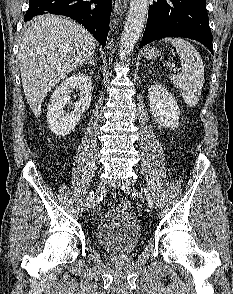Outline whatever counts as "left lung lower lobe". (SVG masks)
Masks as SVG:
<instances>
[{"label":"left lung lower lobe","instance_id":"left-lung-lower-lobe-1","mask_svg":"<svg viewBox=\"0 0 233 294\" xmlns=\"http://www.w3.org/2000/svg\"><path fill=\"white\" fill-rule=\"evenodd\" d=\"M175 36L199 41L213 54L206 0H155L149 5L140 48L152 41Z\"/></svg>","mask_w":233,"mask_h":294}]
</instances>
